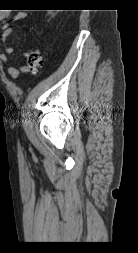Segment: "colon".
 <instances>
[{
  "instance_id": "5ec220e1",
  "label": "colon",
  "mask_w": 138,
  "mask_h": 253,
  "mask_svg": "<svg viewBox=\"0 0 138 253\" xmlns=\"http://www.w3.org/2000/svg\"><path fill=\"white\" fill-rule=\"evenodd\" d=\"M27 61L24 66V72L36 74L43 63V55L39 49L32 50L26 54Z\"/></svg>"
}]
</instances>
